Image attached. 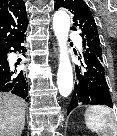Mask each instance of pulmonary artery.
<instances>
[{
	"label": "pulmonary artery",
	"instance_id": "pulmonary-artery-1",
	"mask_svg": "<svg viewBox=\"0 0 117 136\" xmlns=\"http://www.w3.org/2000/svg\"><path fill=\"white\" fill-rule=\"evenodd\" d=\"M73 38H74L75 44H76L79 48H81V47H82V42H81L80 37L75 35V36H73Z\"/></svg>",
	"mask_w": 117,
	"mask_h": 136
}]
</instances>
